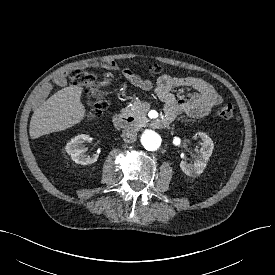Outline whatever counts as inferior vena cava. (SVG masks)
I'll use <instances>...</instances> for the list:
<instances>
[{"label": "inferior vena cava", "mask_w": 275, "mask_h": 275, "mask_svg": "<svg viewBox=\"0 0 275 275\" xmlns=\"http://www.w3.org/2000/svg\"><path fill=\"white\" fill-rule=\"evenodd\" d=\"M122 137L126 143H134L137 138L136 130L133 127L126 128L123 131Z\"/></svg>", "instance_id": "1"}]
</instances>
